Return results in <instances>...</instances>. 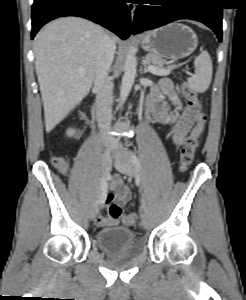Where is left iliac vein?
Here are the masks:
<instances>
[{"label": "left iliac vein", "instance_id": "1", "mask_svg": "<svg viewBox=\"0 0 246 300\" xmlns=\"http://www.w3.org/2000/svg\"><path fill=\"white\" fill-rule=\"evenodd\" d=\"M115 167L121 173L130 177H135L137 174L135 164L129 158L117 159L115 161ZM141 224L147 230L151 229L153 226L152 217L145 208L141 212Z\"/></svg>", "mask_w": 246, "mask_h": 300}]
</instances>
